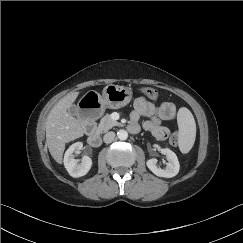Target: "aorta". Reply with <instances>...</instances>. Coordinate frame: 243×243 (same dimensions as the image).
Segmentation results:
<instances>
[{
    "mask_svg": "<svg viewBox=\"0 0 243 243\" xmlns=\"http://www.w3.org/2000/svg\"><path fill=\"white\" fill-rule=\"evenodd\" d=\"M117 137L120 139V140H126L128 138V132L126 130H119L117 132Z\"/></svg>",
    "mask_w": 243,
    "mask_h": 243,
    "instance_id": "762f6f07",
    "label": "aorta"
}]
</instances>
